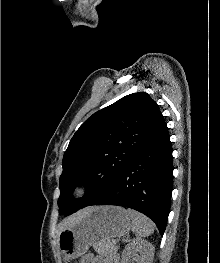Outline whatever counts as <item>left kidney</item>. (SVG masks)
Listing matches in <instances>:
<instances>
[{
	"label": "left kidney",
	"instance_id": "left-kidney-1",
	"mask_svg": "<svg viewBox=\"0 0 220 263\" xmlns=\"http://www.w3.org/2000/svg\"><path fill=\"white\" fill-rule=\"evenodd\" d=\"M154 250L155 248L151 243L136 238L127 244L123 250L121 263H129L131 258L137 263H152Z\"/></svg>",
	"mask_w": 220,
	"mask_h": 263
}]
</instances>
